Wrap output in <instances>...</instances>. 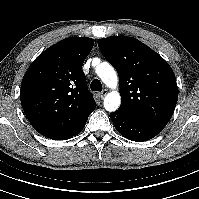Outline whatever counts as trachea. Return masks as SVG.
I'll return each mask as SVG.
<instances>
[{
    "label": "trachea",
    "mask_w": 199,
    "mask_h": 199,
    "mask_svg": "<svg viewBox=\"0 0 199 199\" xmlns=\"http://www.w3.org/2000/svg\"><path fill=\"white\" fill-rule=\"evenodd\" d=\"M90 88L93 91H102V84L98 79H94L91 82Z\"/></svg>",
    "instance_id": "3493384b"
}]
</instances>
